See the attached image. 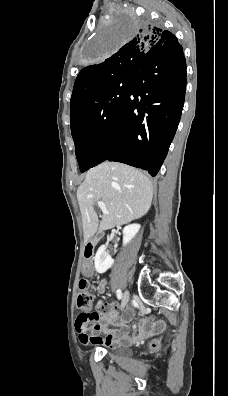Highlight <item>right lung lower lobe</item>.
<instances>
[{
  "instance_id": "1",
  "label": "right lung lower lobe",
  "mask_w": 228,
  "mask_h": 396,
  "mask_svg": "<svg viewBox=\"0 0 228 396\" xmlns=\"http://www.w3.org/2000/svg\"><path fill=\"white\" fill-rule=\"evenodd\" d=\"M185 89L186 62L180 44L145 56L133 72L103 161L122 162L156 176L179 124Z\"/></svg>"
}]
</instances>
